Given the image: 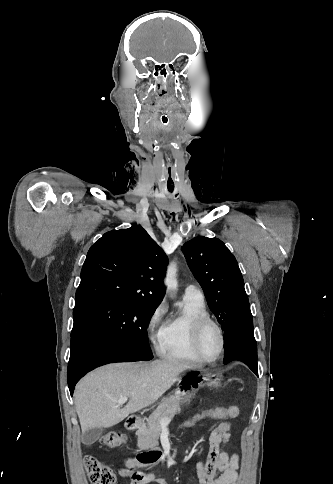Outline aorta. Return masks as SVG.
I'll return each instance as SVG.
<instances>
[{"label": "aorta", "mask_w": 333, "mask_h": 484, "mask_svg": "<svg viewBox=\"0 0 333 484\" xmlns=\"http://www.w3.org/2000/svg\"><path fill=\"white\" fill-rule=\"evenodd\" d=\"M164 283L169 291H173L178 288L177 267L175 262H171L167 267Z\"/></svg>", "instance_id": "aorta-1"}]
</instances>
